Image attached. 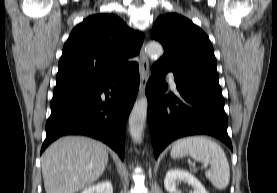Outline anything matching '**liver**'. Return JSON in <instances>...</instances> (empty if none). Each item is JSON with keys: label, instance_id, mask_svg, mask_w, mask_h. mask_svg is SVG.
Instances as JSON below:
<instances>
[{"label": "liver", "instance_id": "1", "mask_svg": "<svg viewBox=\"0 0 277 193\" xmlns=\"http://www.w3.org/2000/svg\"><path fill=\"white\" fill-rule=\"evenodd\" d=\"M107 147L84 136H66L43 153L42 175L46 193H76L90 187L104 172Z\"/></svg>", "mask_w": 277, "mask_h": 193}]
</instances>
